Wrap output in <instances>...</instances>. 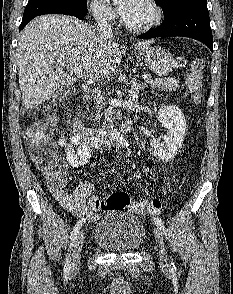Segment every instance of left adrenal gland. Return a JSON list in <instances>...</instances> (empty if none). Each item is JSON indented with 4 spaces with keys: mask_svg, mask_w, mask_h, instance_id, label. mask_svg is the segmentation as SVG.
<instances>
[{
    "mask_svg": "<svg viewBox=\"0 0 233 294\" xmlns=\"http://www.w3.org/2000/svg\"><path fill=\"white\" fill-rule=\"evenodd\" d=\"M131 84L132 85H131V89L129 91V96L132 97V99L137 101L138 97H139L140 90L144 88V85L142 83H138L136 78H134L131 81Z\"/></svg>",
    "mask_w": 233,
    "mask_h": 294,
    "instance_id": "a2214340",
    "label": "left adrenal gland"
}]
</instances>
